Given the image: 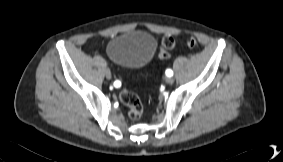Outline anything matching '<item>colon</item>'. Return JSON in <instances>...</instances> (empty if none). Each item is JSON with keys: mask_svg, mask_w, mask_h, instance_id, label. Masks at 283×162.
Here are the masks:
<instances>
[{"mask_svg": "<svg viewBox=\"0 0 283 162\" xmlns=\"http://www.w3.org/2000/svg\"><path fill=\"white\" fill-rule=\"evenodd\" d=\"M198 45L197 40L194 37H190L186 40V46L188 48H195ZM175 46V40L172 36H164L161 42V48L158 52V57L162 60H168L170 57L169 51ZM120 101L127 107L128 116L131 119H138L142 112L143 106L139 97L129 90L122 88L119 92Z\"/></svg>", "mask_w": 283, "mask_h": 162, "instance_id": "obj_1", "label": "colon"}]
</instances>
